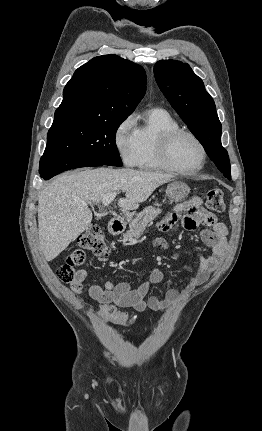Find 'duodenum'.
Wrapping results in <instances>:
<instances>
[{"instance_id": "duodenum-1", "label": "duodenum", "mask_w": 262, "mask_h": 431, "mask_svg": "<svg viewBox=\"0 0 262 431\" xmlns=\"http://www.w3.org/2000/svg\"><path fill=\"white\" fill-rule=\"evenodd\" d=\"M124 230V222L122 219L113 218L109 222V231L111 234H120Z\"/></svg>"}]
</instances>
